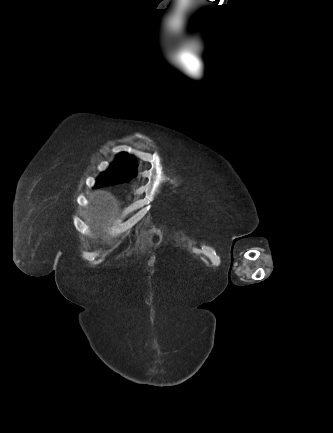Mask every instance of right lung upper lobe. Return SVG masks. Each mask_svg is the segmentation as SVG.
<instances>
[{"mask_svg":"<svg viewBox=\"0 0 333 433\" xmlns=\"http://www.w3.org/2000/svg\"><path fill=\"white\" fill-rule=\"evenodd\" d=\"M117 160H131V161H133V158L130 155L123 153V154L118 155Z\"/></svg>","mask_w":333,"mask_h":433,"instance_id":"cb5924a9","label":"right lung upper lobe"}]
</instances>
